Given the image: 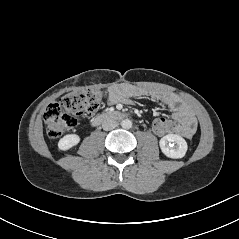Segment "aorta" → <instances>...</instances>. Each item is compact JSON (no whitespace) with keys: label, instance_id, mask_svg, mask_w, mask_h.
<instances>
[{"label":"aorta","instance_id":"762f6f07","mask_svg":"<svg viewBox=\"0 0 239 239\" xmlns=\"http://www.w3.org/2000/svg\"><path fill=\"white\" fill-rule=\"evenodd\" d=\"M121 126L124 129H130L132 127V121L129 119L122 120Z\"/></svg>","mask_w":239,"mask_h":239}]
</instances>
